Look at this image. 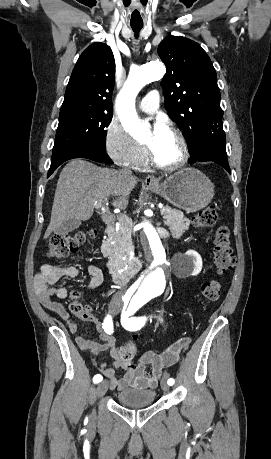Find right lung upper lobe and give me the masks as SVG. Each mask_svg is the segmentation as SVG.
<instances>
[{
    "label": "right lung upper lobe",
    "instance_id": "obj_1",
    "mask_svg": "<svg viewBox=\"0 0 271 459\" xmlns=\"http://www.w3.org/2000/svg\"><path fill=\"white\" fill-rule=\"evenodd\" d=\"M115 60L104 43L90 45L79 57L66 88L60 113H113Z\"/></svg>",
    "mask_w": 271,
    "mask_h": 459
}]
</instances>
